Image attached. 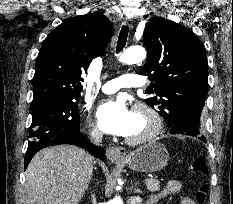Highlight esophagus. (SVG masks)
<instances>
[{
  "mask_svg": "<svg viewBox=\"0 0 233 204\" xmlns=\"http://www.w3.org/2000/svg\"><path fill=\"white\" fill-rule=\"evenodd\" d=\"M124 24L128 25L130 28L133 27L132 19L128 18L124 20ZM126 150L123 147L110 146L106 150V156L112 162H118L125 158Z\"/></svg>",
  "mask_w": 233,
  "mask_h": 204,
  "instance_id": "obj_1",
  "label": "esophagus"
}]
</instances>
